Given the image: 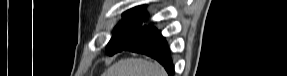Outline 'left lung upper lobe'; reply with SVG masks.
Segmentation results:
<instances>
[{"instance_id":"5c2ea615","label":"left lung upper lobe","mask_w":287,"mask_h":76,"mask_svg":"<svg viewBox=\"0 0 287 76\" xmlns=\"http://www.w3.org/2000/svg\"><path fill=\"white\" fill-rule=\"evenodd\" d=\"M123 20L114 28L112 38L107 45L109 54L116 53L121 48L133 44L156 29L142 26L147 19L144 6H137L123 13Z\"/></svg>"}]
</instances>
